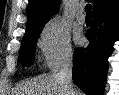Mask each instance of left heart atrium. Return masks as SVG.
Here are the masks:
<instances>
[{
	"label": "left heart atrium",
	"instance_id": "left-heart-atrium-1",
	"mask_svg": "<svg viewBox=\"0 0 119 95\" xmlns=\"http://www.w3.org/2000/svg\"><path fill=\"white\" fill-rule=\"evenodd\" d=\"M76 39H77V40H79V39H80L79 35L76 37Z\"/></svg>",
	"mask_w": 119,
	"mask_h": 95
}]
</instances>
